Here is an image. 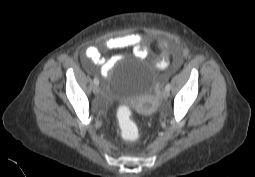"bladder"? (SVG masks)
I'll return each mask as SVG.
<instances>
[{
  "label": "bladder",
  "instance_id": "1",
  "mask_svg": "<svg viewBox=\"0 0 255 177\" xmlns=\"http://www.w3.org/2000/svg\"><path fill=\"white\" fill-rule=\"evenodd\" d=\"M130 66L134 67V71L121 77L122 71ZM156 71V65L144 58H136L132 63L117 64L114 73L106 77V93L111 99L132 105L145 114L148 107L141 99L150 94Z\"/></svg>",
  "mask_w": 255,
  "mask_h": 177
}]
</instances>
